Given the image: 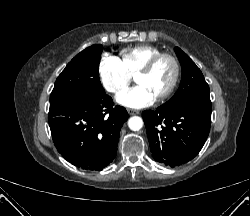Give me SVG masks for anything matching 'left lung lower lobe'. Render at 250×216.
<instances>
[{
	"mask_svg": "<svg viewBox=\"0 0 250 216\" xmlns=\"http://www.w3.org/2000/svg\"><path fill=\"white\" fill-rule=\"evenodd\" d=\"M211 112L212 106L201 103L144 111L142 117L154 160L176 167L197 156L210 131Z\"/></svg>",
	"mask_w": 250,
	"mask_h": 216,
	"instance_id": "left-lung-lower-lobe-1",
	"label": "left lung lower lobe"
}]
</instances>
